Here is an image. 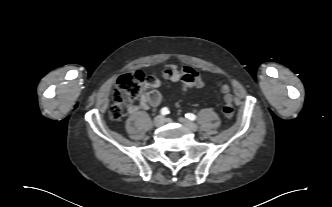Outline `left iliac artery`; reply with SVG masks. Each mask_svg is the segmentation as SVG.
Masks as SVG:
<instances>
[{"mask_svg": "<svg viewBox=\"0 0 332 207\" xmlns=\"http://www.w3.org/2000/svg\"><path fill=\"white\" fill-rule=\"evenodd\" d=\"M186 117H187L189 120H192V121L196 120V115H194V114H192V113H188V114H186Z\"/></svg>", "mask_w": 332, "mask_h": 207, "instance_id": "1", "label": "left iliac artery"}]
</instances>
